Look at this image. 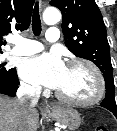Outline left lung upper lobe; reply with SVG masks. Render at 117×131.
Masks as SVG:
<instances>
[{"mask_svg":"<svg viewBox=\"0 0 117 131\" xmlns=\"http://www.w3.org/2000/svg\"><path fill=\"white\" fill-rule=\"evenodd\" d=\"M62 13L65 45L76 56L95 63L103 73L106 96L102 107L117 110L107 31L94 0H52Z\"/></svg>","mask_w":117,"mask_h":131,"instance_id":"5c2ea615","label":"left lung upper lobe"}]
</instances>
